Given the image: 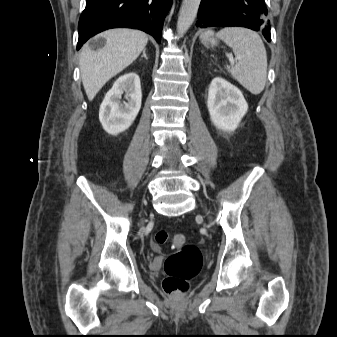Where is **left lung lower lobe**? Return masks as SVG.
I'll use <instances>...</instances> for the list:
<instances>
[{
	"mask_svg": "<svg viewBox=\"0 0 337 337\" xmlns=\"http://www.w3.org/2000/svg\"><path fill=\"white\" fill-rule=\"evenodd\" d=\"M198 28L241 26L255 31L262 30L271 41L270 21L264 0H202Z\"/></svg>",
	"mask_w": 337,
	"mask_h": 337,
	"instance_id": "0a47b994",
	"label": "left lung lower lobe"
}]
</instances>
